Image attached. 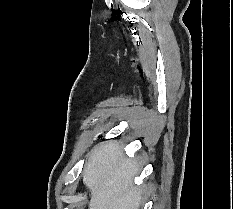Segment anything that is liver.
Segmentation results:
<instances>
[{"label": "liver", "mask_w": 233, "mask_h": 209, "mask_svg": "<svg viewBox=\"0 0 233 209\" xmlns=\"http://www.w3.org/2000/svg\"><path fill=\"white\" fill-rule=\"evenodd\" d=\"M138 171L137 161L127 158L117 141L96 147L83 171L89 209H139L142 192L133 183Z\"/></svg>", "instance_id": "obj_1"}]
</instances>
